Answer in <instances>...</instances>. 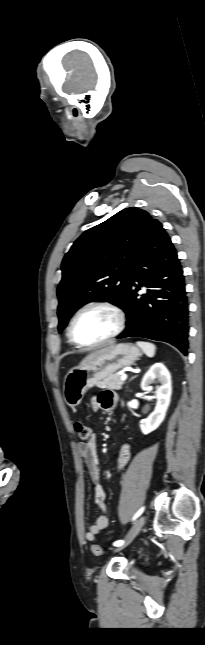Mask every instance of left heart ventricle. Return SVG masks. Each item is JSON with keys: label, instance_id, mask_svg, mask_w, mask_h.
Wrapping results in <instances>:
<instances>
[{"label": "left heart ventricle", "instance_id": "1", "mask_svg": "<svg viewBox=\"0 0 205 645\" xmlns=\"http://www.w3.org/2000/svg\"><path fill=\"white\" fill-rule=\"evenodd\" d=\"M115 326L113 314L105 309L91 308L79 315L74 325L78 341L92 343L106 337Z\"/></svg>", "mask_w": 205, "mask_h": 645}]
</instances>
